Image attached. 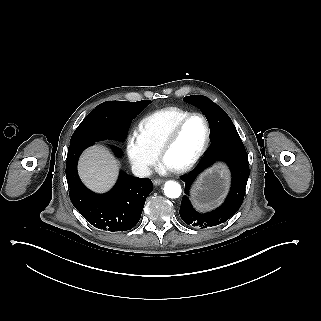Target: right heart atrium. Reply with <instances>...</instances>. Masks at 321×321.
<instances>
[{
	"label": "right heart atrium",
	"instance_id": "1",
	"mask_svg": "<svg viewBox=\"0 0 321 321\" xmlns=\"http://www.w3.org/2000/svg\"><path fill=\"white\" fill-rule=\"evenodd\" d=\"M127 156L135 172L142 177H148L158 161L159 153L139 131H133L127 140Z\"/></svg>",
	"mask_w": 321,
	"mask_h": 321
}]
</instances>
